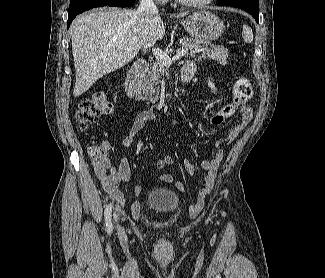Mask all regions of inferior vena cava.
Here are the masks:
<instances>
[{"instance_id": "obj_1", "label": "inferior vena cava", "mask_w": 325, "mask_h": 278, "mask_svg": "<svg viewBox=\"0 0 325 278\" xmlns=\"http://www.w3.org/2000/svg\"><path fill=\"white\" fill-rule=\"evenodd\" d=\"M138 11L141 13H145L146 15L157 13V6L153 2V0H141Z\"/></svg>"}]
</instances>
